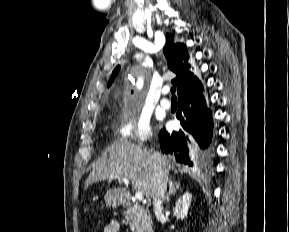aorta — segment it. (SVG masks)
Wrapping results in <instances>:
<instances>
[{"instance_id":"aorta-1","label":"aorta","mask_w":289,"mask_h":232,"mask_svg":"<svg viewBox=\"0 0 289 232\" xmlns=\"http://www.w3.org/2000/svg\"><path fill=\"white\" fill-rule=\"evenodd\" d=\"M141 85H142V82L140 81V82H139V86L141 87Z\"/></svg>"}]
</instances>
